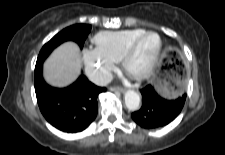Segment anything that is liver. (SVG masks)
<instances>
[{
	"mask_svg": "<svg viewBox=\"0 0 225 155\" xmlns=\"http://www.w3.org/2000/svg\"><path fill=\"white\" fill-rule=\"evenodd\" d=\"M80 50L76 43L65 42L57 47L45 61L43 74L45 80L55 87L72 84L81 71Z\"/></svg>",
	"mask_w": 225,
	"mask_h": 155,
	"instance_id": "1",
	"label": "liver"
}]
</instances>
